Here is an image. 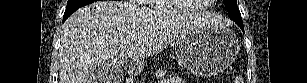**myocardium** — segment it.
Listing matches in <instances>:
<instances>
[{"label":"myocardium","instance_id":"1","mask_svg":"<svg viewBox=\"0 0 307 83\" xmlns=\"http://www.w3.org/2000/svg\"><path fill=\"white\" fill-rule=\"evenodd\" d=\"M174 7L180 11V12H184V13H199V12H203L204 10H207V6L206 5H199L197 7H194L192 9L189 10H185L181 7L180 5V1L179 0H172L170 1Z\"/></svg>","mask_w":307,"mask_h":83}]
</instances>
